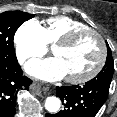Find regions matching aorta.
Instances as JSON below:
<instances>
[{"mask_svg":"<svg viewBox=\"0 0 117 117\" xmlns=\"http://www.w3.org/2000/svg\"><path fill=\"white\" fill-rule=\"evenodd\" d=\"M61 106V101L58 97L50 96L47 97L45 101V109L51 113H56L59 111Z\"/></svg>","mask_w":117,"mask_h":117,"instance_id":"1","label":"aorta"}]
</instances>
